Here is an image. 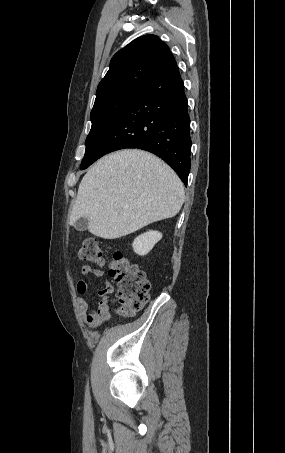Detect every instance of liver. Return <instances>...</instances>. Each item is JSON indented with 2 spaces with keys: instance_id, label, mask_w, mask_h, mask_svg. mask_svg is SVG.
Masks as SVG:
<instances>
[{
  "instance_id": "obj_1",
  "label": "liver",
  "mask_w": 285,
  "mask_h": 453,
  "mask_svg": "<svg viewBox=\"0 0 285 453\" xmlns=\"http://www.w3.org/2000/svg\"><path fill=\"white\" fill-rule=\"evenodd\" d=\"M184 202L177 174L151 153L125 149L99 159L84 175L70 213L97 237L116 239L174 217Z\"/></svg>"
}]
</instances>
